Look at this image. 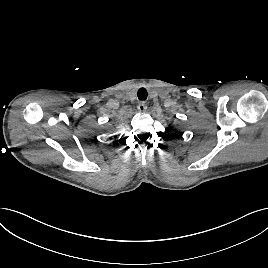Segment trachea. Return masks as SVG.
Wrapping results in <instances>:
<instances>
[{
    "mask_svg": "<svg viewBox=\"0 0 268 268\" xmlns=\"http://www.w3.org/2000/svg\"><path fill=\"white\" fill-rule=\"evenodd\" d=\"M147 90L145 88H140L138 90V93H137V96H138V99L141 100V101H144L147 99Z\"/></svg>",
    "mask_w": 268,
    "mask_h": 268,
    "instance_id": "3493384b",
    "label": "trachea"
}]
</instances>
